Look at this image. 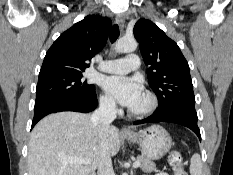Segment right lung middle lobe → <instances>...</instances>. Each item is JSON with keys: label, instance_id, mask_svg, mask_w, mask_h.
<instances>
[{"label": "right lung middle lobe", "instance_id": "obj_1", "mask_svg": "<svg viewBox=\"0 0 233 175\" xmlns=\"http://www.w3.org/2000/svg\"><path fill=\"white\" fill-rule=\"evenodd\" d=\"M95 95V86L87 84L83 72L40 77L36 88V101L69 98L87 99Z\"/></svg>", "mask_w": 233, "mask_h": 175}]
</instances>
